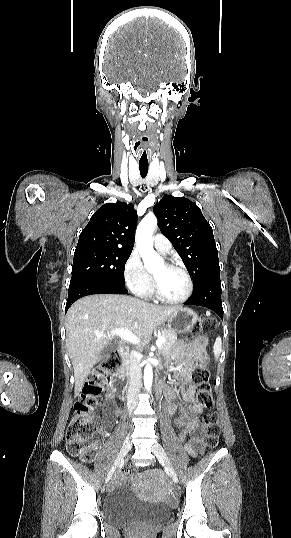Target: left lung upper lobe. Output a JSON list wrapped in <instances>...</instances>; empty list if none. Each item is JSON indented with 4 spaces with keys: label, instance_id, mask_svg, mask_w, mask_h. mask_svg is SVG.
I'll return each mask as SVG.
<instances>
[{
    "label": "left lung upper lobe",
    "instance_id": "left-lung-upper-lobe-1",
    "mask_svg": "<svg viewBox=\"0 0 291 538\" xmlns=\"http://www.w3.org/2000/svg\"><path fill=\"white\" fill-rule=\"evenodd\" d=\"M161 232L170 240L193 279V291L220 278L213 230L200 208L184 197L165 195L154 206Z\"/></svg>",
    "mask_w": 291,
    "mask_h": 538
}]
</instances>
